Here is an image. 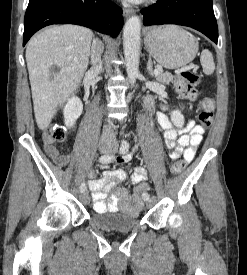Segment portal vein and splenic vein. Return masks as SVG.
Listing matches in <instances>:
<instances>
[{
    "mask_svg": "<svg viewBox=\"0 0 247 275\" xmlns=\"http://www.w3.org/2000/svg\"><path fill=\"white\" fill-rule=\"evenodd\" d=\"M160 73H161V71H160L159 69H155V70H154V74H155V76L160 75Z\"/></svg>",
    "mask_w": 247,
    "mask_h": 275,
    "instance_id": "portal-vein-and-splenic-vein-1",
    "label": "portal vein and splenic vein"
}]
</instances>
